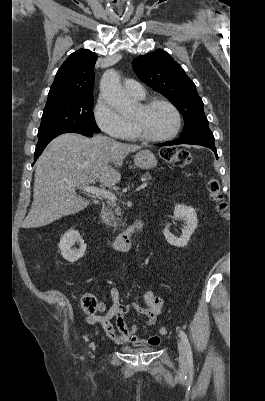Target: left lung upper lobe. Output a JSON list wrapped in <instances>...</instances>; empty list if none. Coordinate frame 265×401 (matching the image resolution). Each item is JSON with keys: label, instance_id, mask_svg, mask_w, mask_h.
<instances>
[{"label": "left lung upper lobe", "instance_id": "obj_1", "mask_svg": "<svg viewBox=\"0 0 265 401\" xmlns=\"http://www.w3.org/2000/svg\"><path fill=\"white\" fill-rule=\"evenodd\" d=\"M132 67L144 83L164 95L183 115L185 126L180 136L209 129L195 84L167 52L158 49L138 56Z\"/></svg>", "mask_w": 265, "mask_h": 401}]
</instances>
